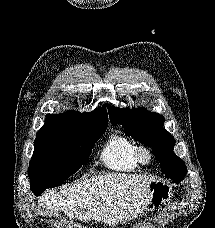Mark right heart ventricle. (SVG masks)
Listing matches in <instances>:
<instances>
[{
  "label": "right heart ventricle",
  "mask_w": 215,
  "mask_h": 228,
  "mask_svg": "<svg viewBox=\"0 0 215 228\" xmlns=\"http://www.w3.org/2000/svg\"><path fill=\"white\" fill-rule=\"evenodd\" d=\"M136 148V143L125 135L111 134L102 145L100 160L113 171L133 172L139 167Z\"/></svg>",
  "instance_id": "right-heart-ventricle-1"
}]
</instances>
